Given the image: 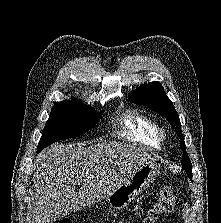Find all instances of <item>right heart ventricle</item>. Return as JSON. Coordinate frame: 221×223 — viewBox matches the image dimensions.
<instances>
[{"label":"right heart ventricle","mask_w":221,"mask_h":223,"mask_svg":"<svg viewBox=\"0 0 221 223\" xmlns=\"http://www.w3.org/2000/svg\"><path fill=\"white\" fill-rule=\"evenodd\" d=\"M117 123V134L120 138L153 148L160 147V127L150 116L131 109L120 114Z\"/></svg>","instance_id":"1"}]
</instances>
